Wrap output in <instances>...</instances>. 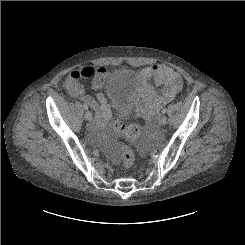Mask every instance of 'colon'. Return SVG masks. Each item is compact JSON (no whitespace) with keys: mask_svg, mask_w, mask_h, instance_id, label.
Segmentation results:
<instances>
[{"mask_svg":"<svg viewBox=\"0 0 245 245\" xmlns=\"http://www.w3.org/2000/svg\"><path fill=\"white\" fill-rule=\"evenodd\" d=\"M137 129L133 128L130 130V134L135 135ZM120 162L123 168H130L134 162V155L130 148L123 146L121 149Z\"/></svg>","mask_w":245,"mask_h":245,"instance_id":"colon-1","label":"colon"}]
</instances>
